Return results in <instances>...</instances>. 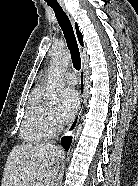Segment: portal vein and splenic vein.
I'll use <instances>...</instances> for the list:
<instances>
[{
  "mask_svg": "<svg viewBox=\"0 0 138 186\" xmlns=\"http://www.w3.org/2000/svg\"><path fill=\"white\" fill-rule=\"evenodd\" d=\"M35 186H43V183H37Z\"/></svg>",
  "mask_w": 138,
  "mask_h": 186,
  "instance_id": "1",
  "label": "portal vein and splenic vein"
}]
</instances>
